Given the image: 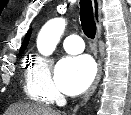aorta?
Wrapping results in <instances>:
<instances>
[{
    "instance_id": "762f6f07",
    "label": "aorta",
    "mask_w": 131,
    "mask_h": 115,
    "mask_svg": "<svg viewBox=\"0 0 131 115\" xmlns=\"http://www.w3.org/2000/svg\"><path fill=\"white\" fill-rule=\"evenodd\" d=\"M65 27L64 18L52 19L42 27L37 38V48L42 55L49 56L53 53Z\"/></svg>"
}]
</instances>
